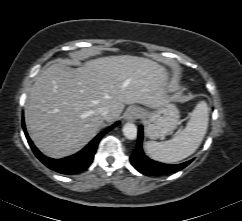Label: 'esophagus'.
<instances>
[{"label":"esophagus","instance_id":"obj_1","mask_svg":"<svg viewBox=\"0 0 242 221\" xmlns=\"http://www.w3.org/2000/svg\"><path fill=\"white\" fill-rule=\"evenodd\" d=\"M142 115V110L139 107H131L125 113V119L128 121H135Z\"/></svg>","mask_w":242,"mask_h":221}]
</instances>
